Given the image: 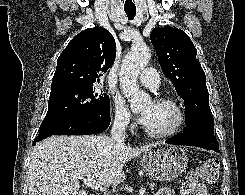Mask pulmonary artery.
Wrapping results in <instances>:
<instances>
[{
    "instance_id": "e3ab8cb5",
    "label": "pulmonary artery",
    "mask_w": 245,
    "mask_h": 195,
    "mask_svg": "<svg viewBox=\"0 0 245 195\" xmlns=\"http://www.w3.org/2000/svg\"><path fill=\"white\" fill-rule=\"evenodd\" d=\"M139 81L142 85L150 89H156L160 82V77L155 69L146 68L142 70Z\"/></svg>"
}]
</instances>
